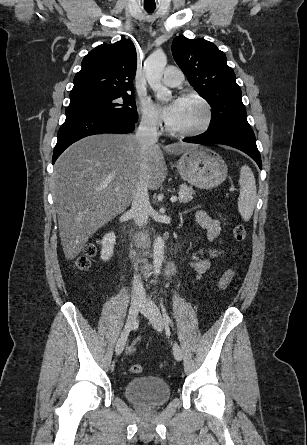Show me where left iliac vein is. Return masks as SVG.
<instances>
[{"label": "left iliac vein", "mask_w": 307, "mask_h": 445, "mask_svg": "<svg viewBox=\"0 0 307 445\" xmlns=\"http://www.w3.org/2000/svg\"><path fill=\"white\" fill-rule=\"evenodd\" d=\"M141 312L149 319L153 328L157 331H162L164 327V320L161 315L159 308L156 304L149 300L145 299L142 303ZM173 355L177 361L182 360V350L178 343H174L173 345Z\"/></svg>", "instance_id": "4c4485c4"}]
</instances>
